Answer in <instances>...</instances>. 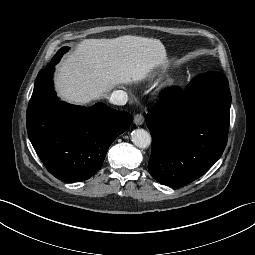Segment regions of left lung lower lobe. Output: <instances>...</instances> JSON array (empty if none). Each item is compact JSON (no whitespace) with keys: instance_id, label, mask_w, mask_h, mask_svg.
I'll use <instances>...</instances> for the list:
<instances>
[{"instance_id":"left-lung-lower-lobe-1","label":"left lung lower lobe","mask_w":255,"mask_h":255,"mask_svg":"<svg viewBox=\"0 0 255 255\" xmlns=\"http://www.w3.org/2000/svg\"><path fill=\"white\" fill-rule=\"evenodd\" d=\"M231 93L223 73L201 74L170 89L148 112L152 136L149 173L167 186H182L205 174L221 157L228 138Z\"/></svg>"}]
</instances>
